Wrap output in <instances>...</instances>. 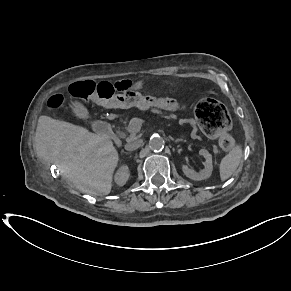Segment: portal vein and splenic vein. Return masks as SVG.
<instances>
[{
	"label": "portal vein and splenic vein",
	"mask_w": 291,
	"mask_h": 291,
	"mask_svg": "<svg viewBox=\"0 0 291 291\" xmlns=\"http://www.w3.org/2000/svg\"><path fill=\"white\" fill-rule=\"evenodd\" d=\"M142 119L139 118H133L129 124V132L131 133H137L138 131H140L141 126H142Z\"/></svg>",
	"instance_id": "portal-vein-and-splenic-vein-1"
}]
</instances>
